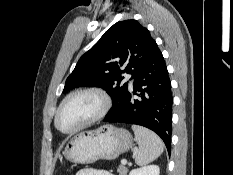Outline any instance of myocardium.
Returning <instances> with one entry per match:
<instances>
[{
    "label": "myocardium",
    "instance_id": "myocardium-1",
    "mask_svg": "<svg viewBox=\"0 0 233 175\" xmlns=\"http://www.w3.org/2000/svg\"><path fill=\"white\" fill-rule=\"evenodd\" d=\"M80 94H92L95 95L96 97L99 98L100 100V108L99 110L90 118H88L87 120H85L84 122H82L81 124H79L78 126L70 129V130H63L60 128L59 124H58V118H59V114L63 108V106L67 103L68 100H70L72 97L76 96V95H80ZM112 106V100L111 97L109 96V94L102 88L100 87H83V88H79L76 90L71 91L70 93H68L59 103L57 110L55 112V117H54V124L55 127L62 133L65 134H70V133H74L77 132L81 129H83L84 127L102 119L103 117H105L107 115V113L109 112V110L111 109Z\"/></svg>",
    "mask_w": 233,
    "mask_h": 175
}]
</instances>
